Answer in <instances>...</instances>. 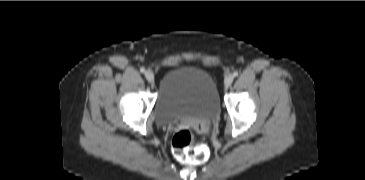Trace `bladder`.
<instances>
[{
	"instance_id": "bladder-1",
	"label": "bladder",
	"mask_w": 365,
	"mask_h": 180,
	"mask_svg": "<svg viewBox=\"0 0 365 180\" xmlns=\"http://www.w3.org/2000/svg\"><path fill=\"white\" fill-rule=\"evenodd\" d=\"M219 110L218 87L207 71L193 66H177L161 78L154 106L159 124L210 120Z\"/></svg>"
}]
</instances>
